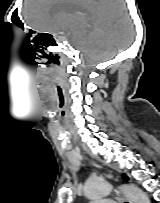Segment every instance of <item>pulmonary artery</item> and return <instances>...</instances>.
Wrapping results in <instances>:
<instances>
[{
    "label": "pulmonary artery",
    "mask_w": 160,
    "mask_h": 203,
    "mask_svg": "<svg viewBox=\"0 0 160 203\" xmlns=\"http://www.w3.org/2000/svg\"><path fill=\"white\" fill-rule=\"evenodd\" d=\"M92 203H114L113 201H94Z\"/></svg>",
    "instance_id": "pulmonary-artery-1"
}]
</instances>
